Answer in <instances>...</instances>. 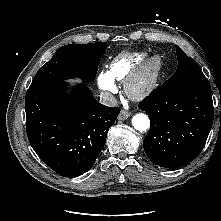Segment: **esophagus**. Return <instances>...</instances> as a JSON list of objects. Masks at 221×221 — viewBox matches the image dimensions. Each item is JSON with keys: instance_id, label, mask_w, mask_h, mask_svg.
<instances>
[{"instance_id": "34e87169", "label": "esophagus", "mask_w": 221, "mask_h": 221, "mask_svg": "<svg viewBox=\"0 0 221 221\" xmlns=\"http://www.w3.org/2000/svg\"><path fill=\"white\" fill-rule=\"evenodd\" d=\"M130 116H131L130 112H128L126 110H121V112L118 115V119L124 121V120L128 119Z\"/></svg>"}]
</instances>
